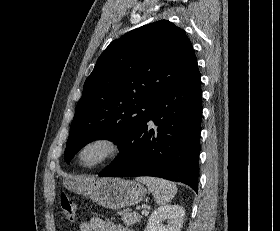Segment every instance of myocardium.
Listing matches in <instances>:
<instances>
[{
	"instance_id": "1",
	"label": "myocardium",
	"mask_w": 280,
	"mask_h": 231,
	"mask_svg": "<svg viewBox=\"0 0 280 231\" xmlns=\"http://www.w3.org/2000/svg\"><path fill=\"white\" fill-rule=\"evenodd\" d=\"M97 140H106V141L110 142L113 146L112 153L104 162H102L101 164H99L93 168L82 167L79 159H80V155H81L83 149L91 142H94ZM124 149H125V144H124L122 137L119 134L114 133V132L98 133V134L88 138L87 140H85L82 143V145L79 147V149L77 150V153H76V163L84 171H88V172L97 171V170L107 166L111 162L115 161L116 159H118L123 154Z\"/></svg>"
}]
</instances>
